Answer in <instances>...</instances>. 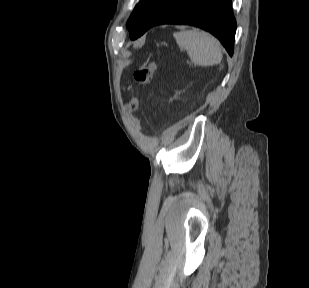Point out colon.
Wrapping results in <instances>:
<instances>
[{
    "instance_id": "obj_1",
    "label": "colon",
    "mask_w": 309,
    "mask_h": 288,
    "mask_svg": "<svg viewBox=\"0 0 309 288\" xmlns=\"http://www.w3.org/2000/svg\"><path fill=\"white\" fill-rule=\"evenodd\" d=\"M155 70L156 65L154 62L143 64L138 68H136V70L134 71V79L140 87H145L151 82ZM139 105H140V99L138 96L133 97L132 100L127 105L129 119L132 122V124L135 125L136 127H138L139 122L135 117L134 112L139 108Z\"/></svg>"
}]
</instances>
